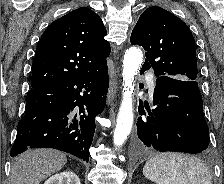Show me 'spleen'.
Wrapping results in <instances>:
<instances>
[{"instance_id":"spleen-1","label":"spleen","mask_w":224,"mask_h":184,"mask_svg":"<svg viewBox=\"0 0 224 184\" xmlns=\"http://www.w3.org/2000/svg\"><path fill=\"white\" fill-rule=\"evenodd\" d=\"M144 176L156 184H212L208 167L199 159L181 153H161L149 159Z\"/></svg>"}]
</instances>
